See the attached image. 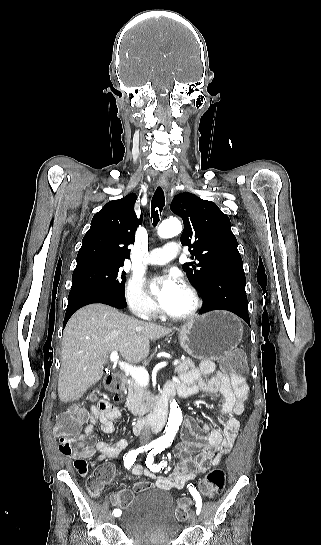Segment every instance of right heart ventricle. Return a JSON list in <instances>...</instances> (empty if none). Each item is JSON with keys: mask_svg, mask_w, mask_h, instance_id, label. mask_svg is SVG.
<instances>
[{"mask_svg": "<svg viewBox=\"0 0 321 545\" xmlns=\"http://www.w3.org/2000/svg\"><path fill=\"white\" fill-rule=\"evenodd\" d=\"M159 315L162 316V313L160 312Z\"/></svg>", "mask_w": 321, "mask_h": 545, "instance_id": "right-heart-ventricle-1", "label": "right heart ventricle"}]
</instances>
